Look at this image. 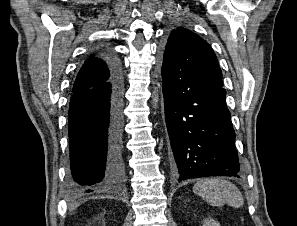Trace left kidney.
Returning a JSON list of instances; mask_svg holds the SVG:
<instances>
[{"mask_svg":"<svg viewBox=\"0 0 297 226\" xmlns=\"http://www.w3.org/2000/svg\"><path fill=\"white\" fill-rule=\"evenodd\" d=\"M202 226H220V224L218 223V221L212 218H209V219H204Z\"/></svg>","mask_w":297,"mask_h":226,"instance_id":"5707ae66","label":"left kidney"}]
</instances>
